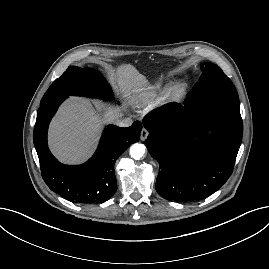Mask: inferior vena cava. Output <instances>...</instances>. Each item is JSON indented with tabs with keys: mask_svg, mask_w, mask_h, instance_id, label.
Listing matches in <instances>:
<instances>
[{
	"mask_svg": "<svg viewBox=\"0 0 269 269\" xmlns=\"http://www.w3.org/2000/svg\"><path fill=\"white\" fill-rule=\"evenodd\" d=\"M133 123V120L131 118H124V119H120V120H117L116 121V124L119 126V127H129L131 126Z\"/></svg>",
	"mask_w": 269,
	"mask_h": 269,
	"instance_id": "602c4592",
	"label": "inferior vena cava"
}]
</instances>
